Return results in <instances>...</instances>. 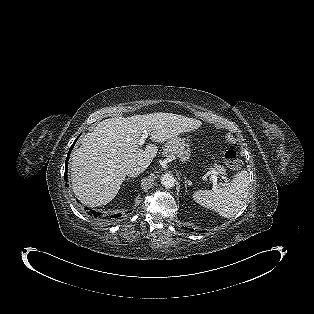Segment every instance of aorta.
<instances>
[{
	"label": "aorta",
	"mask_w": 314,
	"mask_h": 314,
	"mask_svg": "<svg viewBox=\"0 0 314 314\" xmlns=\"http://www.w3.org/2000/svg\"><path fill=\"white\" fill-rule=\"evenodd\" d=\"M161 184L165 188H172L175 185V178L172 174L166 173L161 176Z\"/></svg>",
	"instance_id": "obj_1"
}]
</instances>
